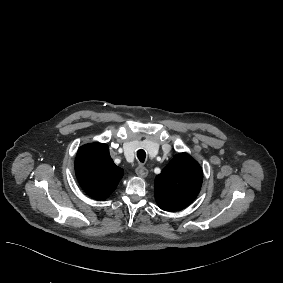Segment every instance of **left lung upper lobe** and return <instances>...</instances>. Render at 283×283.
<instances>
[{
    "mask_svg": "<svg viewBox=\"0 0 283 283\" xmlns=\"http://www.w3.org/2000/svg\"><path fill=\"white\" fill-rule=\"evenodd\" d=\"M200 165L187 153L175 155L155 178V199L165 211H175L189 205L202 184Z\"/></svg>",
    "mask_w": 283,
    "mask_h": 283,
    "instance_id": "1",
    "label": "left lung upper lobe"
}]
</instances>
